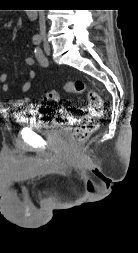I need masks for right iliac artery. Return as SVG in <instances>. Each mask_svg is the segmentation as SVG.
<instances>
[{
  "label": "right iliac artery",
  "instance_id": "obj_1",
  "mask_svg": "<svg viewBox=\"0 0 138 253\" xmlns=\"http://www.w3.org/2000/svg\"><path fill=\"white\" fill-rule=\"evenodd\" d=\"M40 42H41V37H40V36H34V37H33V43H34L35 45L40 44Z\"/></svg>",
  "mask_w": 138,
  "mask_h": 253
}]
</instances>
